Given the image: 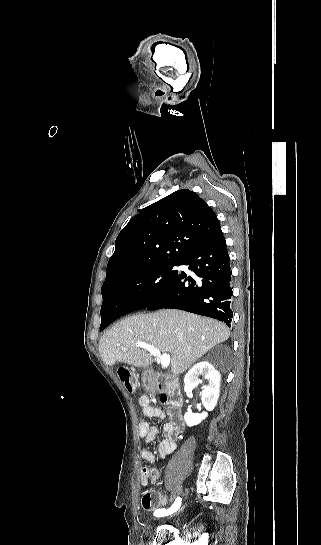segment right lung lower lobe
Instances as JSON below:
<instances>
[{"label":"right lung lower lobe","mask_w":321,"mask_h":545,"mask_svg":"<svg viewBox=\"0 0 321 545\" xmlns=\"http://www.w3.org/2000/svg\"><path fill=\"white\" fill-rule=\"evenodd\" d=\"M229 260L225 238L219 228L181 264L189 265V269L199 277L197 280L182 272L147 305L128 297L110 298L101 307V318L105 320L101 330L117 318L143 308L181 309L218 319L230 327L233 312L230 308L232 271Z\"/></svg>","instance_id":"1"}]
</instances>
